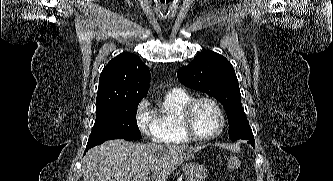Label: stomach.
I'll return each mask as SVG.
<instances>
[{"label": "stomach", "instance_id": "obj_1", "mask_svg": "<svg viewBox=\"0 0 333 181\" xmlns=\"http://www.w3.org/2000/svg\"><path fill=\"white\" fill-rule=\"evenodd\" d=\"M194 154L189 155L187 162L183 165L182 170L187 181H204L207 177V169L203 164L191 161Z\"/></svg>", "mask_w": 333, "mask_h": 181}]
</instances>
